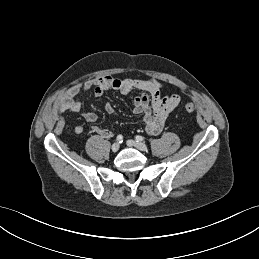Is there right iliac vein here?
Masks as SVG:
<instances>
[{
    "instance_id": "right-iliac-vein-1",
    "label": "right iliac vein",
    "mask_w": 259,
    "mask_h": 259,
    "mask_svg": "<svg viewBox=\"0 0 259 259\" xmlns=\"http://www.w3.org/2000/svg\"><path fill=\"white\" fill-rule=\"evenodd\" d=\"M120 148V144L119 143H114L111 147L113 152H117Z\"/></svg>"
}]
</instances>
